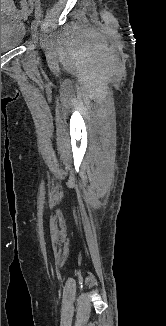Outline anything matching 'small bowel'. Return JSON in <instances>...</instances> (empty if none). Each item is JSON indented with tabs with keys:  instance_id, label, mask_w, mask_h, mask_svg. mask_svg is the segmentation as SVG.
I'll use <instances>...</instances> for the list:
<instances>
[{
	"instance_id": "c3829d8e",
	"label": "small bowel",
	"mask_w": 166,
	"mask_h": 326,
	"mask_svg": "<svg viewBox=\"0 0 166 326\" xmlns=\"http://www.w3.org/2000/svg\"><path fill=\"white\" fill-rule=\"evenodd\" d=\"M6 5V6H8L9 8H10V10H12V11H16V9L13 7V2H12V0H1V5Z\"/></svg>"
}]
</instances>
